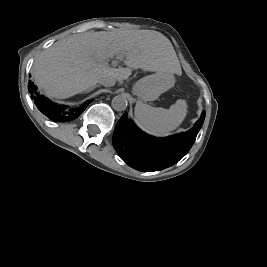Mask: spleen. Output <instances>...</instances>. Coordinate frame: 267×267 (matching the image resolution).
<instances>
[{
  "mask_svg": "<svg viewBox=\"0 0 267 267\" xmlns=\"http://www.w3.org/2000/svg\"><path fill=\"white\" fill-rule=\"evenodd\" d=\"M186 113L184 100H177L169 109L155 108L138 101L134 116L137 126L144 132L156 137H165L180 126Z\"/></svg>",
  "mask_w": 267,
  "mask_h": 267,
  "instance_id": "3e777b00",
  "label": "spleen"
}]
</instances>
